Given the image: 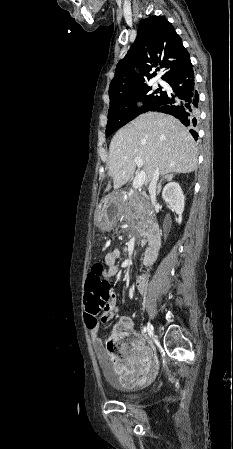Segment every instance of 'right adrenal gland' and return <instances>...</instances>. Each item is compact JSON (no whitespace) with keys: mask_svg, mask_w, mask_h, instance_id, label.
I'll use <instances>...</instances> for the list:
<instances>
[{"mask_svg":"<svg viewBox=\"0 0 233 449\" xmlns=\"http://www.w3.org/2000/svg\"><path fill=\"white\" fill-rule=\"evenodd\" d=\"M173 177H174V173H171V174H168V175H165L162 177V179L159 181L158 186H157V195H159L161 192L162 182L164 180L171 181L173 179Z\"/></svg>","mask_w":233,"mask_h":449,"instance_id":"2a0ac1e0","label":"right adrenal gland"}]
</instances>
